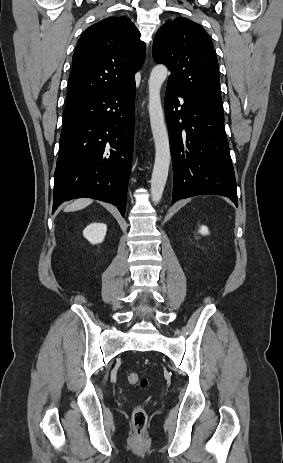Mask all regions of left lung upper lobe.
Returning <instances> with one entry per match:
<instances>
[{"mask_svg":"<svg viewBox=\"0 0 283 463\" xmlns=\"http://www.w3.org/2000/svg\"><path fill=\"white\" fill-rule=\"evenodd\" d=\"M152 53L156 63L171 71L168 83L202 107L224 116L218 61L204 28L187 18L167 20L155 36Z\"/></svg>","mask_w":283,"mask_h":463,"instance_id":"5c2ea615","label":"left lung upper lobe"}]
</instances>
